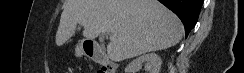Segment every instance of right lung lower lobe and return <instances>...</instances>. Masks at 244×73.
<instances>
[{
  "label": "right lung lower lobe",
  "instance_id": "98d812e1",
  "mask_svg": "<svg viewBox=\"0 0 244 73\" xmlns=\"http://www.w3.org/2000/svg\"><path fill=\"white\" fill-rule=\"evenodd\" d=\"M172 10L182 21L186 36L195 26L203 0H158Z\"/></svg>",
  "mask_w": 244,
  "mask_h": 73
}]
</instances>
